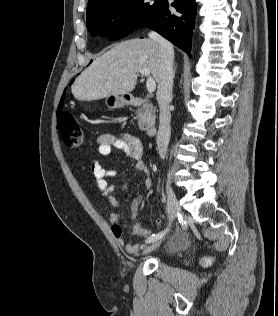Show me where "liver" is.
I'll return each mask as SVG.
<instances>
[{"label": "liver", "instance_id": "liver-1", "mask_svg": "<svg viewBox=\"0 0 278 316\" xmlns=\"http://www.w3.org/2000/svg\"><path fill=\"white\" fill-rule=\"evenodd\" d=\"M141 69H149L160 81L159 44L152 39H131L121 42L96 58L72 85L79 101H93L114 95H125L136 86Z\"/></svg>", "mask_w": 278, "mask_h": 316}]
</instances>
